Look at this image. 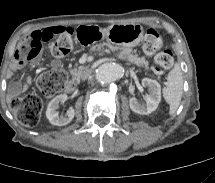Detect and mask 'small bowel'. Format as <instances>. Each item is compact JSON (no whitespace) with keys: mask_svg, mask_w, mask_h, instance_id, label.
I'll return each mask as SVG.
<instances>
[{"mask_svg":"<svg viewBox=\"0 0 215 183\" xmlns=\"http://www.w3.org/2000/svg\"><path fill=\"white\" fill-rule=\"evenodd\" d=\"M69 30L68 27L65 26H48L44 28H40L34 32H32L25 40V42H32L35 39H39L42 43L46 42V36H50L52 38L55 34L61 31ZM24 42V43H25ZM20 51V50H19ZM19 51L16 53V59L14 60L13 64L8 69V76L13 75L18 70L25 67L29 62L27 61L28 58L22 57L19 54ZM32 64H36V60L31 61ZM52 67H58L59 61L53 60L51 62ZM31 83L30 79H27L25 82L16 81L11 85L10 88V96H16L21 91L27 89L28 85Z\"/></svg>","mask_w":215,"mask_h":183,"instance_id":"small-bowel-1","label":"small bowel"}]
</instances>
